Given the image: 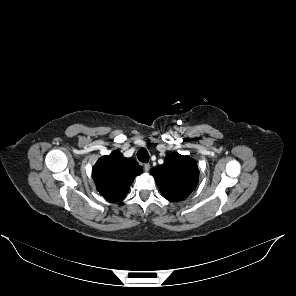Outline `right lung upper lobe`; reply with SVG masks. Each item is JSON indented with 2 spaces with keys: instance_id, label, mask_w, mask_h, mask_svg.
I'll use <instances>...</instances> for the list:
<instances>
[{
  "instance_id": "cb5924a9",
  "label": "right lung upper lobe",
  "mask_w": 296,
  "mask_h": 296,
  "mask_svg": "<svg viewBox=\"0 0 296 296\" xmlns=\"http://www.w3.org/2000/svg\"><path fill=\"white\" fill-rule=\"evenodd\" d=\"M143 172L134 158H124L115 150L98 159L92 168V177L98 192L108 201L123 200L135 176Z\"/></svg>"
}]
</instances>
